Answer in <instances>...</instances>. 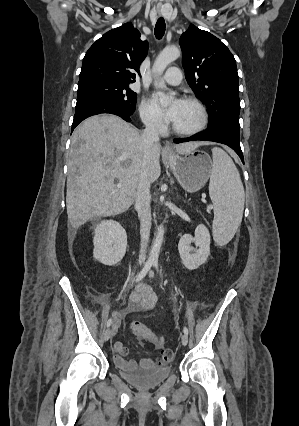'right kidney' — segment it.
<instances>
[{
    "label": "right kidney",
    "mask_w": 299,
    "mask_h": 426,
    "mask_svg": "<svg viewBox=\"0 0 299 426\" xmlns=\"http://www.w3.org/2000/svg\"><path fill=\"white\" fill-rule=\"evenodd\" d=\"M93 244V257L97 261L107 266L116 265L126 253V231L114 220H103L94 229Z\"/></svg>",
    "instance_id": "ca27d5eb"
}]
</instances>
